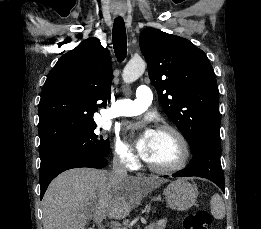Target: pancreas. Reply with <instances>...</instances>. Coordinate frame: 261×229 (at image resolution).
Wrapping results in <instances>:
<instances>
[{
  "label": "pancreas",
  "mask_w": 261,
  "mask_h": 229,
  "mask_svg": "<svg viewBox=\"0 0 261 229\" xmlns=\"http://www.w3.org/2000/svg\"><path fill=\"white\" fill-rule=\"evenodd\" d=\"M154 227L152 229H166V221H156V223H153Z\"/></svg>",
  "instance_id": "pancreas-1"
}]
</instances>
